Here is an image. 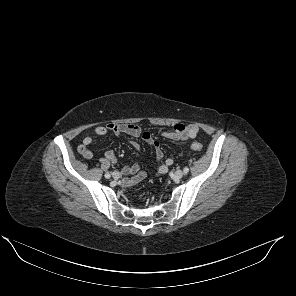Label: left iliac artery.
Instances as JSON below:
<instances>
[{"mask_svg":"<svg viewBox=\"0 0 296 296\" xmlns=\"http://www.w3.org/2000/svg\"><path fill=\"white\" fill-rule=\"evenodd\" d=\"M183 171H184L185 174H187V173L189 172V168H188V167H185V168L183 169Z\"/></svg>","mask_w":296,"mask_h":296,"instance_id":"left-iliac-artery-1","label":"left iliac artery"}]
</instances>
